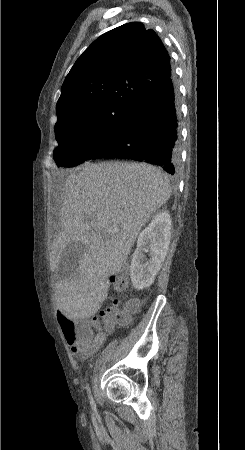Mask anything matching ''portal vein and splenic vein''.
I'll return each instance as SVG.
<instances>
[{"label": "portal vein and splenic vein", "instance_id": "18ae733b", "mask_svg": "<svg viewBox=\"0 0 245 450\" xmlns=\"http://www.w3.org/2000/svg\"><path fill=\"white\" fill-rule=\"evenodd\" d=\"M92 227H93L94 230H96V231H101V227L98 226L97 224H92ZM118 232H119V229H118V228H112V229H109V230H108V233H109V234H115V233H118Z\"/></svg>", "mask_w": 245, "mask_h": 450}]
</instances>
